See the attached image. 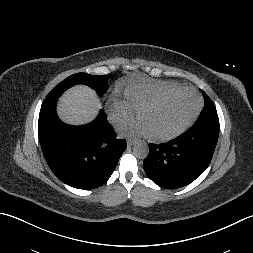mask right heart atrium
<instances>
[{"label":"right heart atrium","instance_id":"right-heart-atrium-1","mask_svg":"<svg viewBox=\"0 0 253 253\" xmlns=\"http://www.w3.org/2000/svg\"><path fill=\"white\" fill-rule=\"evenodd\" d=\"M134 116L132 106L124 100L116 99L112 103V118L116 124H127Z\"/></svg>","mask_w":253,"mask_h":253}]
</instances>
